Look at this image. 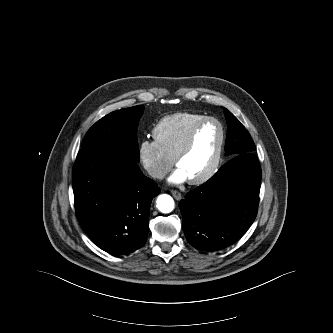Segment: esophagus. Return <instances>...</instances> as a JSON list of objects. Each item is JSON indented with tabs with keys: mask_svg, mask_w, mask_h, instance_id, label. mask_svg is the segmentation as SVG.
Masks as SVG:
<instances>
[{
	"mask_svg": "<svg viewBox=\"0 0 333 333\" xmlns=\"http://www.w3.org/2000/svg\"><path fill=\"white\" fill-rule=\"evenodd\" d=\"M171 194L176 200H180L182 198L181 193H179L178 191L172 190Z\"/></svg>",
	"mask_w": 333,
	"mask_h": 333,
	"instance_id": "34e87169",
	"label": "esophagus"
}]
</instances>
